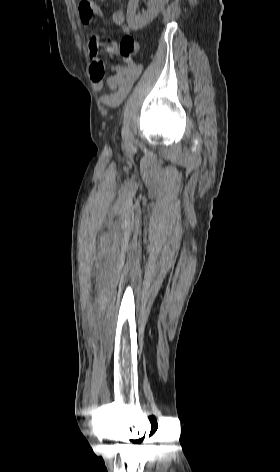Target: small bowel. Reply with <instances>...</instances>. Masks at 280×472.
Returning a JSON list of instances; mask_svg holds the SVG:
<instances>
[{
  "mask_svg": "<svg viewBox=\"0 0 280 472\" xmlns=\"http://www.w3.org/2000/svg\"><path fill=\"white\" fill-rule=\"evenodd\" d=\"M77 1L80 20L83 24H89L93 16L104 19L103 11L92 0ZM112 22L119 26L124 33L130 32V28L126 24V14L123 10L118 9L113 12ZM104 52L110 56L118 55L119 44L112 39L101 41L96 35H93L89 41L90 77L96 90H102L107 86L109 92L102 95L100 101L105 106L114 108L119 106L127 97L142 72V66L138 63L117 64L115 73L105 80V65L101 58V54Z\"/></svg>",
  "mask_w": 280,
  "mask_h": 472,
  "instance_id": "small-bowel-1",
  "label": "small bowel"
}]
</instances>
